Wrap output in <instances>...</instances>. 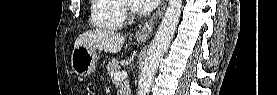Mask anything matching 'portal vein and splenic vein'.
I'll return each mask as SVG.
<instances>
[{
    "instance_id": "portal-vein-and-splenic-vein-1",
    "label": "portal vein and splenic vein",
    "mask_w": 277,
    "mask_h": 95,
    "mask_svg": "<svg viewBox=\"0 0 277 95\" xmlns=\"http://www.w3.org/2000/svg\"><path fill=\"white\" fill-rule=\"evenodd\" d=\"M127 78V72L126 71H118L114 75V79L116 81H122Z\"/></svg>"
}]
</instances>
